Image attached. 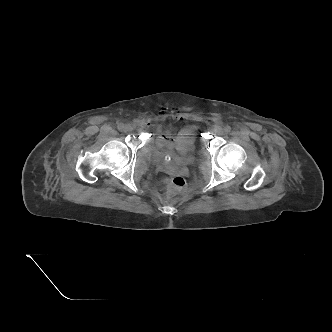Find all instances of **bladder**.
Here are the masks:
<instances>
[{
	"instance_id": "1",
	"label": "bladder",
	"mask_w": 332,
	"mask_h": 332,
	"mask_svg": "<svg viewBox=\"0 0 332 332\" xmlns=\"http://www.w3.org/2000/svg\"><path fill=\"white\" fill-rule=\"evenodd\" d=\"M150 151L153 154L154 159L158 164H167L170 161H167L166 158L169 157L171 160H175L181 164L188 163L196 154L197 151V143L195 140H191L186 143L182 148L177 149H161L158 148L152 143L148 144Z\"/></svg>"
}]
</instances>
